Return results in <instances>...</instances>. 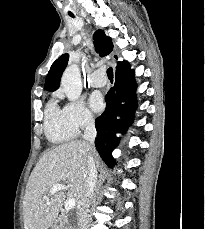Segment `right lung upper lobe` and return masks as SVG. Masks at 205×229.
Instances as JSON below:
<instances>
[{
	"label": "right lung upper lobe",
	"instance_id": "obj_1",
	"mask_svg": "<svg viewBox=\"0 0 205 229\" xmlns=\"http://www.w3.org/2000/svg\"><path fill=\"white\" fill-rule=\"evenodd\" d=\"M93 39L96 51L100 54V56H106L112 52V40L110 37H107L102 30H98L97 32H95ZM68 58V54H63L52 64L46 77L44 89L48 91H54L59 87L60 78L65 67L67 66ZM125 63L126 62L124 61L119 62L117 66Z\"/></svg>",
	"mask_w": 205,
	"mask_h": 229
}]
</instances>
